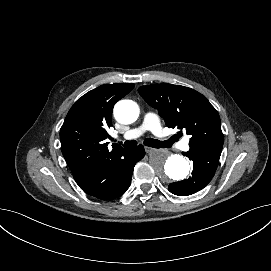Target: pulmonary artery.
Here are the masks:
<instances>
[{
  "mask_svg": "<svg viewBox=\"0 0 271 271\" xmlns=\"http://www.w3.org/2000/svg\"><path fill=\"white\" fill-rule=\"evenodd\" d=\"M161 126V117L157 113H148L144 117V125L140 128L133 129L124 134L121 138L123 140H132L143 134V132L148 129L151 130L158 140L163 145H169L171 147H177L178 149L187 150L190 152L194 151V148L191 147L185 140H182L180 143L171 142V138L165 134Z\"/></svg>",
  "mask_w": 271,
  "mask_h": 271,
  "instance_id": "1",
  "label": "pulmonary artery"
}]
</instances>
